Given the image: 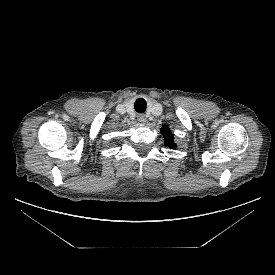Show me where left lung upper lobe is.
<instances>
[{
	"mask_svg": "<svg viewBox=\"0 0 275 275\" xmlns=\"http://www.w3.org/2000/svg\"><path fill=\"white\" fill-rule=\"evenodd\" d=\"M161 133L163 134L164 138H165V145L169 146L170 148H174L176 147L173 143V135L171 134V131L169 130L168 127L163 126L161 128Z\"/></svg>",
	"mask_w": 275,
	"mask_h": 275,
	"instance_id": "obj_1",
	"label": "left lung upper lobe"
}]
</instances>
